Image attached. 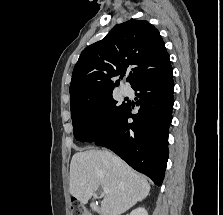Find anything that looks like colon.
Masks as SVG:
<instances>
[{
  "label": "colon",
  "mask_w": 223,
  "mask_h": 215,
  "mask_svg": "<svg viewBox=\"0 0 223 215\" xmlns=\"http://www.w3.org/2000/svg\"><path fill=\"white\" fill-rule=\"evenodd\" d=\"M71 215H92V213L87 206H85L77 201H72Z\"/></svg>",
  "instance_id": "obj_1"
}]
</instances>
